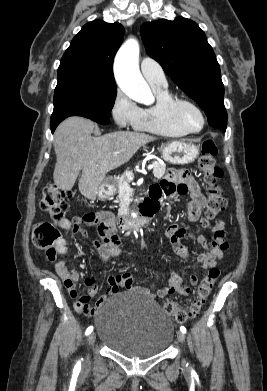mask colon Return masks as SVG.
Instances as JSON below:
<instances>
[{"instance_id":"5ec220e1","label":"colon","mask_w":267,"mask_h":391,"mask_svg":"<svg viewBox=\"0 0 267 391\" xmlns=\"http://www.w3.org/2000/svg\"><path fill=\"white\" fill-rule=\"evenodd\" d=\"M218 148L212 139H205L202 143L201 155L198 160V167L203 173L204 183L207 186L208 201L206 204L205 216L201 219V225L206 227L210 221L218 217L226 207V199L219 180L223 171L216 165ZM72 195L61 191L55 185H48L44 188L40 207L52 218L60 219L69 208V199ZM32 238L34 244L46 250L50 260L55 258L54 245L59 239V231L48 222H40L33 228ZM99 245V244H98ZM219 269L212 268L206 277L203 278L197 288L195 299L184 309L173 301H165L163 309L178 323H184L189 319L196 318L206 299L208 298L216 279L219 276Z\"/></svg>"}]
</instances>
